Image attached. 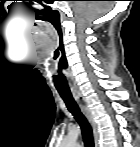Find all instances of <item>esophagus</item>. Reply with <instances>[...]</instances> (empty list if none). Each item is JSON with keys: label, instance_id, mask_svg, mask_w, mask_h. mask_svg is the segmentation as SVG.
<instances>
[{"label": "esophagus", "instance_id": "obj_1", "mask_svg": "<svg viewBox=\"0 0 140 147\" xmlns=\"http://www.w3.org/2000/svg\"><path fill=\"white\" fill-rule=\"evenodd\" d=\"M74 98L77 101V103L79 104L83 114L85 115V117L87 118V120L89 121V123H90V125H91V127L93 129L95 147H99L98 146V130H97V125H96L94 117H93V115L91 113V110L89 109L87 103L85 102V100L82 98L81 95L74 94Z\"/></svg>", "mask_w": 140, "mask_h": 147}]
</instances>
